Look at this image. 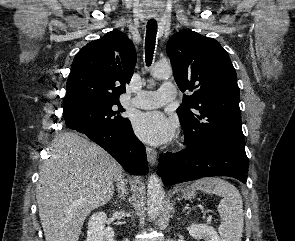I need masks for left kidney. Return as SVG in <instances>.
Segmentation results:
<instances>
[{
    "label": "left kidney",
    "instance_id": "obj_1",
    "mask_svg": "<svg viewBox=\"0 0 295 241\" xmlns=\"http://www.w3.org/2000/svg\"><path fill=\"white\" fill-rule=\"evenodd\" d=\"M189 234L194 238H203L205 241H220L216 230L206 224H191Z\"/></svg>",
    "mask_w": 295,
    "mask_h": 241
}]
</instances>
